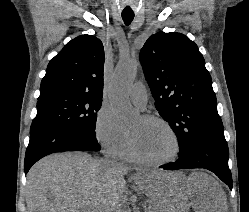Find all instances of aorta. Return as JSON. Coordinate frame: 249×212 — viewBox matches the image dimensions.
<instances>
[{"label": "aorta", "instance_id": "obj_1", "mask_svg": "<svg viewBox=\"0 0 249 212\" xmlns=\"http://www.w3.org/2000/svg\"><path fill=\"white\" fill-rule=\"evenodd\" d=\"M137 73V62L133 60L120 61L113 74L108 89V97L113 113L121 122H126L136 115L128 91Z\"/></svg>", "mask_w": 249, "mask_h": 212}]
</instances>
